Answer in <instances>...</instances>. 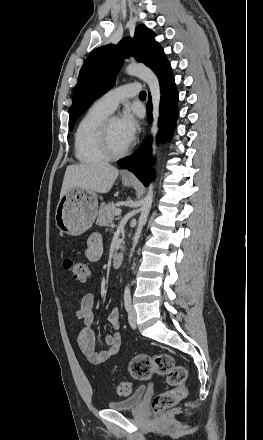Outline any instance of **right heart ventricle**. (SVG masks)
Masks as SVG:
<instances>
[{"instance_id":"obj_1","label":"right heart ventricle","mask_w":263,"mask_h":440,"mask_svg":"<svg viewBox=\"0 0 263 440\" xmlns=\"http://www.w3.org/2000/svg\"><path fill=\"white\" fill-rule=\"evenodd\" d=\"M109 114L95 103L80 119L74 135V154L79 162L88 164L107 160L98 145V129Z\"/></svg>"}]
</instances>
